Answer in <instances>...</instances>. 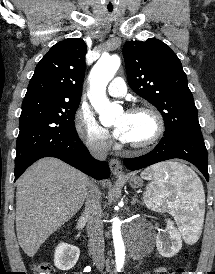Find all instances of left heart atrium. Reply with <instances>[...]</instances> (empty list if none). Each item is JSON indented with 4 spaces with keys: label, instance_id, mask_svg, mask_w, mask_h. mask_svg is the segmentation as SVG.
<instances>
[{
    "label": "left heart atrium",
    "instance_id": "left-heart-atrium-1",
    "mask_svg": "<svg viewBox=\"0 0 215 274\" xmlns=\"http://www.w3.org/2000/svg\"><path fill=\"white\" fill-rule=\"evenodd\" d=\"M125 132H126V120L123 117L119 122L115 124L114 127V136L122 141H125Z\"/></svg>",
    "mask_w": 215,
    "mask_h": 274
}]
</instances>
